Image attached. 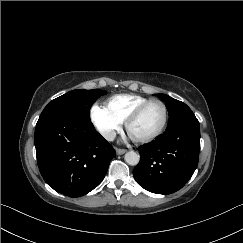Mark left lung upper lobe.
<instances>
[{"label": "left lung upper lobe", "instance_id": "1", "mask_svg": "<svg viewBox=\"0 0 243 243\" xmlns=\"http://www.w3.org/2000/svg\"><path fill=\"white\" fill-rule=\"evenodd\" d=\"M156 95L160 97L163 101H165V105L168 109L169 122L167 127L174 125L175 123L189 115H194L191 109L185 103L165 94Z\"/></svg>", "mask_w": 243, "mask_h": 243}]
</instances>
